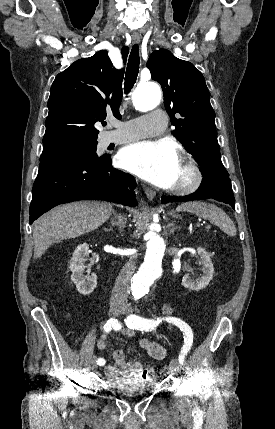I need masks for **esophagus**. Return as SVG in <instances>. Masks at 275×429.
I'll use <instances>...</instances> for the list:
<instances>
[{
  "label": "esophagus",
  "mask_w": 275,
  "mask_h": 429,
  "mask_svg": "<svg viewBox=\"0 0 275 429\" xmlns=\"http://www.w3.org/2000/svg\"><path fill=\"white\" fill-rule=\"evenodd\" d=\"M140 40H141L140 36H138V35H134V36H132V42H133L134 44H138V43L140 42ZM145 193H146L147 197H148L150 200H152V199L155 197V191H153V190H151V189H149V188H147V189L145 190Z\"/></svg>",
  "instance_id": "1"
}]
</instances>
